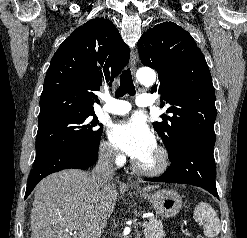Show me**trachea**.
Wrapping results in <instances>:
<instances>
[{"label":"trachea","instance_id":"obj_1","mask_svg":"<svg viewBox=\"0 0 247 238\" xmlns=\"http://www.w3.org/2000/svg\"><path fill=\"white\" fill-rule=\"evenodd\" d=\"M127 93L131 96H134L136 93L130 69L124 70L122 72L120 77V86L116 91L115 95L116 97H122Z\"/></svg>","mask_w":247,"mask_h":238}]
</instances>
